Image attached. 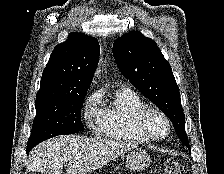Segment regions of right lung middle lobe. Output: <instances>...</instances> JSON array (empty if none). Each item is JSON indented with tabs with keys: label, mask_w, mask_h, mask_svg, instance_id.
<instances>
[{
	"label": "right lung middle lobe",
	"mask_w": 224,
	"mask_h": 174,
	"mask_svg": "<svg viewBox=\"0 0 224 174\" xmlns=\"http://www.w3.org/2000/svg\"><path fill=\"white\" fill-rule=\"evenodd\" d=\"M84 97L85 94L68 98H36V116L27 147L57 135L83 130L81 107Z\"/></svg>",
	"instance_id": "dd1d6c3e"
}]
</instances>
